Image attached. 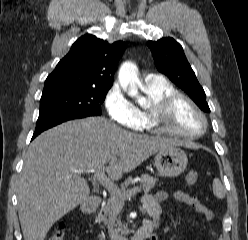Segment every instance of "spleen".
<instances>
[{
    "label": "spleen",
    "instance_id": "spleen-1",
    "mask_svg": "<svg viewBox=\"0 0 248 240\" xmlns=\"http://www.w3.org/2000/svg\"><path fill=\"white\" fill-rule=\"evenodd\" d=\"M213 192L215 196L219 199H223L225 197V192L222 187V184L218 178L213 180Z\"/></svg>",
    "mask_w": 248,
    "mask_h": 240
}]
</instances>
